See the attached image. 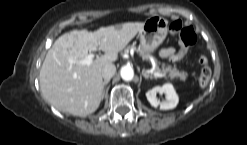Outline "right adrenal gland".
I'll return each instance as SVG.
<instances>
[{
  "label": "right adrenal gland",
  "instance_id": "2a0ac1e0",
  "mask_svg": "<svg viewBox=\"0 0 247 145\" xmlns=\"http://www.w3.org/2000/svg\"><path fill=\"white\" fill-rule=\"evenodd\" d=\"M110 82V80H104L103 81V92H102V99L104 98V94H105V89L107 84Z\"/></svg>",
  "mask_w": 247,
  "mask_h": 145
}]
</instances>
